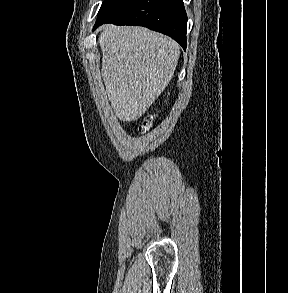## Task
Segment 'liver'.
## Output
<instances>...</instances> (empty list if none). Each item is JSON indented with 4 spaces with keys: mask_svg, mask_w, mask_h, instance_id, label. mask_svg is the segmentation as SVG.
Listing matches in <instances>:
<instances>
[{
    "mask_svg": "<svg viewBox=\"0 0 288 293\" xmlns=\"http://www.w3.org/2000/svg\"><path fill=\"white\" fill-rule=\"evenodd\" d=\"M102 77L122 121L137 120L171 81L180 46L144 27H101Z\"/></svg>",
    "mask_w": 288,
    "mask_h": 293,
    "instance_id": "1",
    "label": "liver"
}]
</instances>
